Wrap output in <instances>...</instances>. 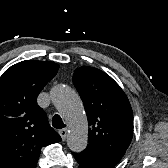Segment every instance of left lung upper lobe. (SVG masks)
Returning a JSON list of instances; mask_svg holds the SVG:
<instances>
[{
    "mask_svg": "<svg viewBox=\"0 0 168 168\" xmlns=\"http://www.w3.org/2000/svg\"><path fill=\"white\" fill-rule=\"evenodd\" d=\"M90 126L87 150L118 163L133 136V112L120 86L105 72L83 66L73 74Z\"/></svg>",
    "mask_w": 168,
    "mask_h": 168,
    "instance_id": "obj_1",
    "label": "left lung upper lobe"
}]
</instances>
